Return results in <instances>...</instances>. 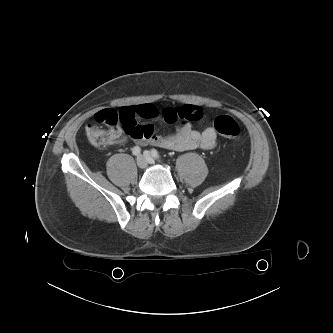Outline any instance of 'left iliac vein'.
I'll use <instances>...</instances> for the list:
<instances>
[{"label": "left iliac vein", "mask_w": 333, "mask_h": 333, "mask_svg": "<svg viewBox=\"0 0 333 333\" xmlns=\"http://www.w3.org/2000/svg\"><path fill=\"white\" fill-rule=\"evenodd\" d=\"M144 156L146 157L147 162H148L149 164H154L155 161H154V158L151 156L150 152L146 151V152L144 153Z\"/></svg>", "instance_id": "4c4485c4"}]
</instances>
